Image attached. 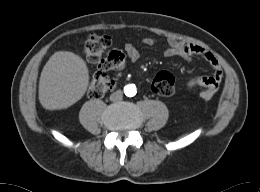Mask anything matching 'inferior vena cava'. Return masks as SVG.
Here are the masks:
<instances>
[{
    "mask_svg": "<svg viewBox=\"0 0 260 192\" xmlns=\"http://www.w3.org/2000/svg\"><path fill=\"white\" fill-rule=\"evenodd\" d=\"M122 98H123V92L121 90H117L116 92H114L110 95V100L113 102L119 101Z\"/></svg>",
    "mask_w": 260,
    "mask_h": 192,
    "instance_id": "inferior-vena-cava-1",
    "label": "inferior vena cava"
}]
</instances>
